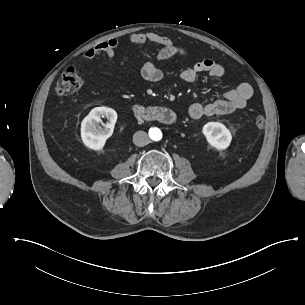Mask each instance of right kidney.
<instances>
[{"label":"right kidney","instance_id":"ca27d5eb","mask_svg":"<svg viewBox=\"0 0 305 305\" xmlns=\"http://www.w3.org/2000/svg\"><path fill=\"white\" fill-rule=\"evenodd\" d=\"M101 117H109L110 129H113L117 121V112L108 107H97L89 112L80 124V134L83 144L90 150L103 151L106 139L93 125L101 121Z\"/></svg>","mask_w":305,"mask_h":305}]
</instances>
